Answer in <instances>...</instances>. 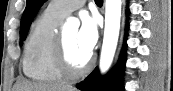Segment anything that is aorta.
<instances>
[{
    "label": "aorta",
    "mask_w": 173,
    "mask_h": 91,
    "mask_svg": "<svg viewBox=\"0 0 173 91\" xmlns=\"http://www.w3.org/2000/svg\"><path fill=\"white\" fill-rule=\"evenodd\" d=\"M122 0H106L105 3V29L103 45L100 56V71L106 73L110 68L117 47ZM69 26H77V20H69Z\"/></svg>",
    "instance_id": "aorta-1"
}]
</instances>
